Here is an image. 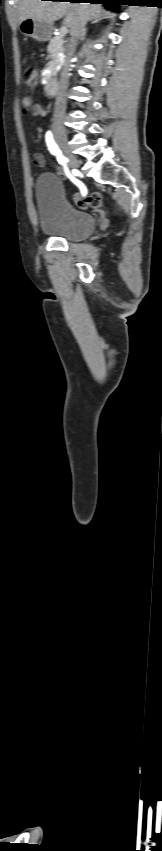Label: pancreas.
I'll list each match as a JSON object with an SVG mask.
<instances>
[{
  "instance_id": "obj_1",
  "label": "pancreas",
  "mask_w": 162,
  "mask_h": 851,
  "mask_svg": "<svg viewBox=\"0 0 162 851\" xmlns=\"http://www.w3.org/2000/svg\"><path fill=\"white\" fill-rule=\"evenodd\" d=\"M64 44L65 41L61 36H55L49 42L48 53L50 54L51 61L48 63V67L51 71V77L57 74L59 66L65 59V57L61 56V54L66 52Z\"/></svg>"
}]
</instances>
